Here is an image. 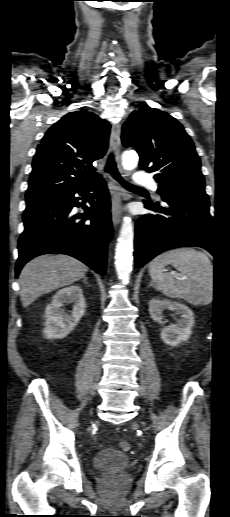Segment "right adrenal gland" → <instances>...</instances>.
I'll return each instance as SVG.
<instances>
[{
  "mask_svg": "<svg viewBox=\"0 0 230 517\" xmlns=\"http://www.w3.org/2000/svg\"><path fill=\"white\" fill-rule=\"evenodd\" d=\"M83 282H84V283H88V282H87V278H84V279H83Z\"/></svg>",
  "mask_w": 230,
  "mask_h": 517,
  "instance_id": "right-adrenal-gland-1",
  "label": "right adrenal gland"
}]
</instances>
